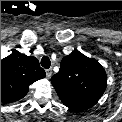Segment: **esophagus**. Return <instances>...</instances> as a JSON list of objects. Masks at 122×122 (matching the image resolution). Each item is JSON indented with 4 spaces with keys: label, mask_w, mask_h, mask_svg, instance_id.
<instances>
[{
    "label": "esophagus",
    "mask_w": 122,
    "mask_h": 122,
    "mask_svg": "<svg viewBox=\"0 0 122 122\" xmlns=\"http://www.w3.org/2000/svg\"><path fill=\"white\" fill-rule=\"evenodd\" d=\"M51 75H52V71H51V70H47V71H46V76H47V78H50Z\"/></svg>",
    "instance_id": "obj_1"
}]
</instances>
